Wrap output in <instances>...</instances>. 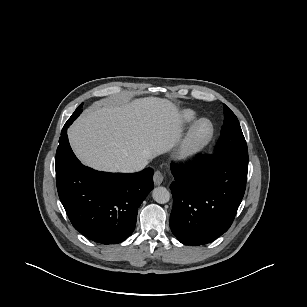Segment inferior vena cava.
Here are the masks:
<instances>
[{
    "label": "inferior vena cava",
    "instance_id": "602c4592",
    "mask_svg": "<svg viewBox=\"0 0 307 307\" xmlns=\"http://www.w3.org/2000/svg\"><path fill=\"white\" fill-rule=\"evenodd\" d=\"M147 165V163H138V164H129L125 167L122 168V172H126V173H133V172H138L141 171L142 169H144V167Z\"/></svg>",
    "mask_w": 307,
    "mask_h": 307
}]
</instances>
